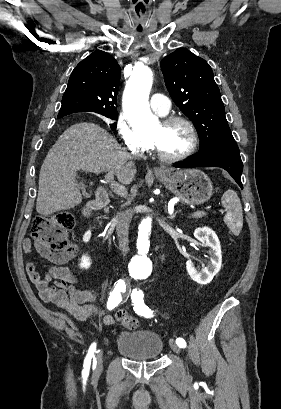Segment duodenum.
Returning <instances> with one entry per match:
<instances>
[{
  "label": "duodenum",
  "instance_id": "duodenum-1",
  "mask_svg": "<svg viewBox=\"0 0 281 409\" xmlns=\"http://www.w3.org/2000/svg\"><path fill=\"white\" fill-rule=\"evenodd\" d=\"M109 192L110 189L108 186H99L95 193L98 200L90 201L85 206L84 216L88 219V222L93 229L95 228V224L91 220L90 215L91 213L100 210L101 206L110 201V196L108 195Z\"/></svg>",
  "mask_w": 281,
  "mask_h": 409
}]
</instances>
